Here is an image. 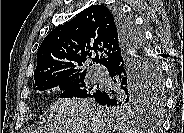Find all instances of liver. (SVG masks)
I'll return each mask as SVG.
<instances>
[{"label": "liver", "mask_w": 184, "mask_h": 133, "mask_svg": "<svg viewBox=\"0 0 184 133\" xmlns=\"http://www.w3.org/2000/svg\"><path fill=\"white\" fill-rule=\"evenodd\" d=\"M44 133H136L89 99H59L48 109Z\"/></svg>", "instance_id": "6515ba94"}]
</instances>
